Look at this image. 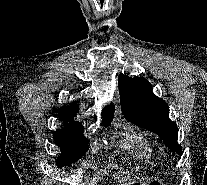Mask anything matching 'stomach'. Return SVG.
Wrapping results in <instances>:
<instances>
[{"label": "stomach", "mask_w": 207, "mask_h": 185, "mask_svg": "<svg viewBox=\"0 0 207 185\" xmlns=\"http://www.w3.org/2000/svg\"><path fill=\"white\" fill-rule=\"evenodd\" d=\"M135 185H164V184L160 183L156 179H149L146 181L137 182V183H135Z\"/></svg>", "instance_id": "obj_1"}]
</instances>
